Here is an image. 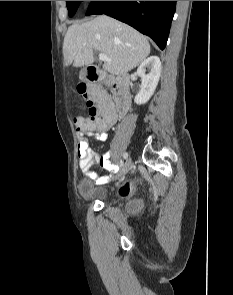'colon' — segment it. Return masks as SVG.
<instances>
[{"instance_id": "5ec220e1", "label": "colon", "mask_w": 233, "mask_h": 295, "mask_svg": "<svg viewBox=\"0 0 233 295\" xmlns=\"http://www.w3.org/2000/svg\"><path fill=\"white\" fill-rule=\"evenodd\" d=\"M101 81L102 80H90L89 82H82L77 86L78 93L83 97L89 113V118L80 116H76L74 118V122L78 131H83L94 127L103 118V114L97 106L98 98L101 93L104 92L100 86ZM117 84L118 83L116 80L112 81V85L114 87H117ZM129 189L130 185L129 183H126L120 189V193L127 194Z\"/></svg>"}]
</instances>
